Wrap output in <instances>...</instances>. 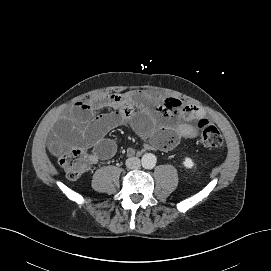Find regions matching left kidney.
Listing matches in <instances>:
<instances>
[{
  "mask_svg": "<svg viewBox=\"0 0 271 271\" xmlns=\"http://www.w3.org/2000/svg\"><path fill=\"white\" fill-rule=\"evenodd\" d=\"M183 166L187 169H191L194 166V163L191 158L186 157L183 161Z\"/></svg>",
  "mask_w": 271,
  "mask_h": 271,
  "instance_id": "5707ae66",
  "label": "left kidney"
}]
</instances>
